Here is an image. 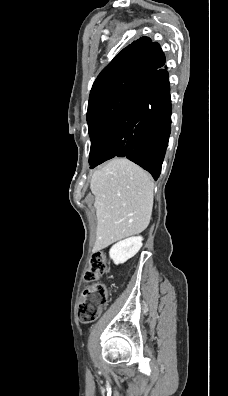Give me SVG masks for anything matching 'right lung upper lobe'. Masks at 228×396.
<instances>
[{
  "mask_svg": "<svg viewBox=\"0 0 228 396\" xmlns=\"http://www.w3.org/2000/svg\"><path fill=\"white\" fill-rule=\"evenodd\" d=\"M160 48L148 37H142L124 48L98 75L92 89L101 83L137 71L144 70V60Z\"/></svg>",
  "mask_w": 228,
  "mask_h": 396,
  "instance_id": "right-lung-upper-lobe-1",
  "label": "right lung upper lobe"
}]
</instances>
